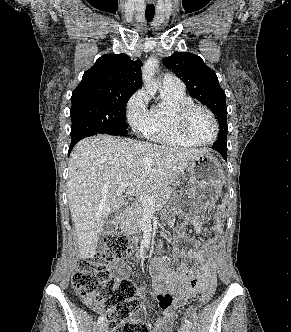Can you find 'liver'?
<instances>
[{
    "instance_id": "6515ba94",
    "label": "liver",
    "mask_w": 291,
    "mask_h": 332,
    "mask_svg": "<svg viewBox=\"0 0 291 332\" xmlns=\"http://www.w3.org/2000/svg\"><path fill=\"white\" fill-rule=\"evenodd\" d=\"M207 149L166 147L130 138L95 135L78 142L71 153L67 181L79 258H93L105 219L124 205L117 192L124 182L137 196L172 184L188 162Z\"/></svg>"
}]
</instances>
